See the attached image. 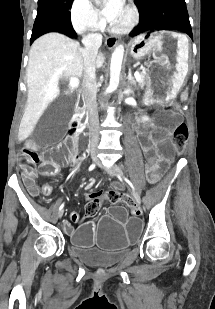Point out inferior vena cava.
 I'll list each match as a JSON object with an SVG mask.
<instances>
[{"label":"inferior vena cava","mask_w":215,"mask_h":309,"mask_svg":"<svg viewBox=\"0 0 215 309\" xmlns=\"http://www.w3.org/2000/svg\"><path fill=\"white\" fill-rule=\"evenodd\" d=\"M85 46L83 54V78H82V98L86 104L90 132L91 144L99 142V118L97 110V82H96V56L99 46L102 44V34L100 32H90L82 38Z\"/></svg>","instance_id":"602c4592"}]
</instances>
